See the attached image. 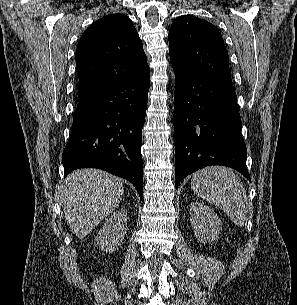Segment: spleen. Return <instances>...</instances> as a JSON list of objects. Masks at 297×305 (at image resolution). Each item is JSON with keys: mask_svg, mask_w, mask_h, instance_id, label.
I'll list each match as a JSON object with an SVG mask.
<instances>
[{"mask_svg": "<svg viewBox=\"0 0 297 305\" xmlns=\"http://www.w3.org/2000/svg\"><path fill=\"white\" fill-rule=\"evenodd\" d=\"M191 188L200 198L226 212L237 226H244L248 212L246 190L231 169L213 166L199 170L191 179Z\"/></svg>", "mask_w": 297, "mask_h": 305, "instance_id": "spleen-1", "label": "spleen"}]
</instances>
